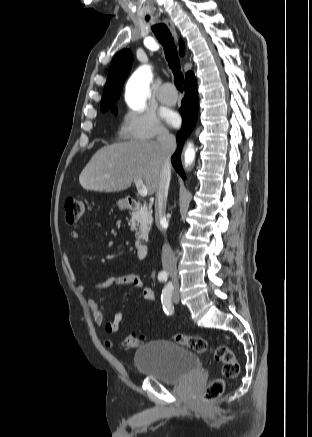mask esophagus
Here are the masks:
<instances>
[{
    "label": "esophagus",
    "mask_w": 312,
    "mask_h": 437,
    "mask_svg": "<svg viewBox=\"0 0 312 437\" xmlns=\"http://www.w3.org/2000/svg\"><path fill=\"white\" fill-rule=\"evenodd\" d=\"M164 21H165V23L167 24V26L169 27V29L171 30V32H172L174 38L177 40V39H178L177 32H176V30H175V26H174V24L172 23V21H171L170 19H167V18H165Z\"/></svg>",
    "instance_id": "34e87169"
}]
</instances>
